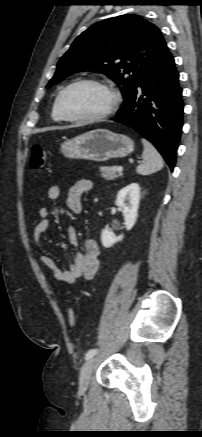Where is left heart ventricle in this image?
I'll return each mask as SVG.
<instances>
[{
	"label": "left heart ventricle",
	"instance_id": "left-heart-ventricle-1",
	"mask_svg": "<svg viewBox=\"0 0 202 437\" xmlns=\"http://www.w3.org/2000/svg\"><path fill=\"white\" fill-rule=\"evenodd\" d=\"M110 100V95L105 90L91 84H82L67 93L64 108L72 116H93L103 112L109 106Z\"/></svg>",
	"mask_w": 202,
	"mask_h": 437
}]
</instances>
